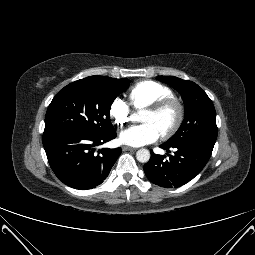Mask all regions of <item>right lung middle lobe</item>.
I'll list each match as a JSON object with an SVG mask.
<instances>
[{"mask_svg": "<svg viewBox=\"0 0 255 255\" xmlns=\"http://www.w3.org/2000/svg\"><path fill=\"white\" fill-rule=\"evenodd\" d=\"M128 79H81L65 86L50 103L45 130H78L95 136L114 131L111 104L129 86Z\"/></svg>", "mask_w": 255, "mask_h": 255, "instance_id": "right-lung-middle-lobe-1", "label": "right lung middle lobe"}]
</instances>
